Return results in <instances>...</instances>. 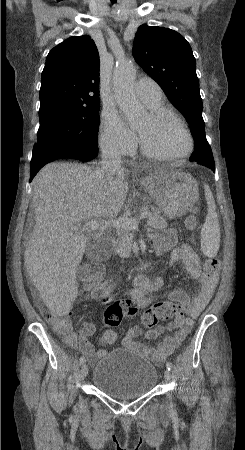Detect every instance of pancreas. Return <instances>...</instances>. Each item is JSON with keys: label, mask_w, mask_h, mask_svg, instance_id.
<instances>
[{"label": "pancreas", "mask_w": 245, "mask_h": 450, "mask_svg": "<svg viewBox=\"0 0 245 450\" xmlns=\"http://www.w3.org/2000/svg\"><path fill=\"white\" fill-rule=\"evenodd\" d=\"M148 211V209H145ZM149 216L147 220L148 226L155 229H164L167 227L165 218L160 216L158 211H148ZM119 239L115 247V252L122 258H127L130 256L132 243L134 238V232L131 230L119 229L118 230Z\"/></svg>", "instance_id": "obj_1"}]
</instances>
